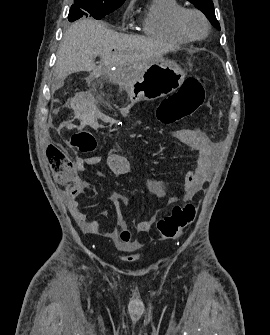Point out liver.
Instances as JSON below:
<instances>
[{"label":"liver","instance_id":"6515ba94","mask_svg":"<svg viewBox=\"0 0 270 335\" xmlns=\"http://www.w3.org/2000/svg\"><path fill=\"white\" fill-rule=\"evenodd\" d=\"M168 50L169 46L152 38L119 34L96 20H78L63 36L56 72L64 80L74 72H110L113 66H127L128 78L137 80L150 60L161 58ZM97 56L101 58V66L94 64Z\"/></svg>","mask_w":270,"mask_h":335}]
</instances>
